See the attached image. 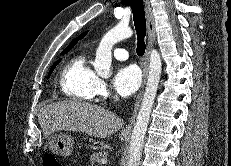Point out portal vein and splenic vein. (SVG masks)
<instances>
[{
    "label": "portal vein and splenic vein",
    "instance_id": "18ae733b",
    "mask_svg": "<svg viewBox=\"0 0 231 166\" xmlns=\"http://www.w3.org/2000/svg\"><path fill=\"white\" fill-rule=\"evenodd\" d=\"M101 162H102V164H107V160L106 159H103Z\"/></svg>",
    "mask_w": 231,
    "mask_h": 166
}]
</instances>
